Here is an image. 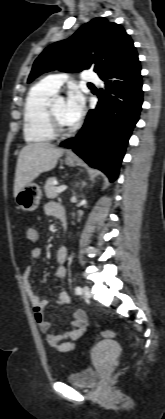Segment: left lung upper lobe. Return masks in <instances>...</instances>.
<instances>
[{"label": "left lung upper lobe", "instance_id": "5c2ea615", "mask_svg": "<svg viewBox=\"0 0 165 419\" xmlns=\"http://www.w3.org/2000/svg\"><path fill=\"white\" fill-rule=\"evenodd\" d=\"M124 28L104 18L81 26L70 38L47 47L35 60L28 83L51 71L79 72L94 67L99 76L118 64L133 48Z\"/></svg>", "mask_w": 165, "mask_h": 419}]
</instances>
